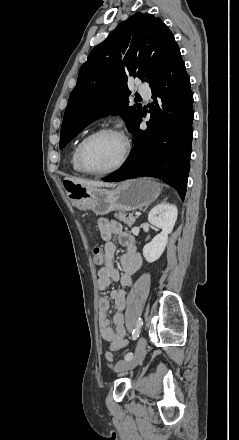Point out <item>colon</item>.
I'll return each instance as SVG.
<instances>
[{
  "label": "colon",
  "mask_w": 239,
  "mask_h": 440,
  "mask_svg": "<svg viewBox=\"0 0 239 440\" xmlns=\"http://www.w3.org/2000/svg\"><path fill=\"white\" fill-rule=\"evenodd\" d=\"M93 259L96 265H101L104 261V257L102 255L101 249L96 247L93 250ZM105 360L109 363L114 361V355L111 352H106L105 353Z\"/></svg>",
  "instance_id": "obj_1"
}]
</instances>
